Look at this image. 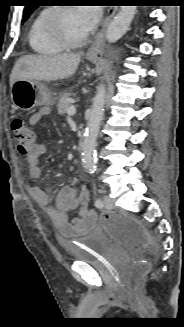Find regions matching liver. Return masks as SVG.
Returning <instances> with one entry per match:
<instances>
[{
  "instance_id": "6515ba94",
  "label": "liver",
  "mask_w": 184,
  "mask_h": 327,
  "mask_svg": "<svg viewBox=\"0 0 184 327\" xmlns=\"http://www.w3.org/2000/svg\"><path fill=\"white\" fill-rule=\"evenodd\" d=\"M80 59V53L22 56L12 69L10 86L19 79L55 81L69 78L77 70Z\"/></svg>"
}]
</instances>
